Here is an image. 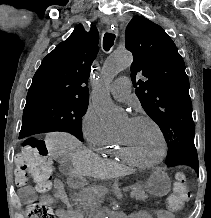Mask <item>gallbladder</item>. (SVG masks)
Returning a JSON list of instances; mask_svg holds the SVG:
<instances>
[{
  "mask_svg": "<svg viewBox=\"0 0 211 218\" xmlns=\"http://www.w3.org/2000/svg\"><path fill=\"white\" fill-rule=\"evenodd\" d=\"M59 172L63 174V176H70L73 172V164L70 160H64V162H60Z\"/></svg>",
  "mask_w": 211,
  "mask_h": 218,
  "instance_id": "obj_1",
  "label": "gallbladder"
}]
</instances>
